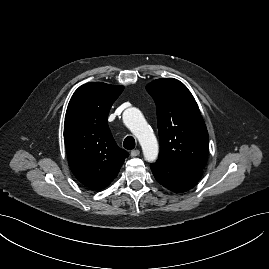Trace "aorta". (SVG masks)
Wrapping results in <instances>:
<instances>
[{"instance_id":"obj_1","label":"aorta","mask_w":269,"mask_h":269,"mask_svg":"<svg viewBox=\"0 0 269 269\" xmlns=\"http://www.w3.org/2000/svg\"><path fill=\"white\" fill-rule=\"evenodd\" d=\"M123 121L138 139L145 159L154 162L159 153L158 142L141 111L137 108L126 109L123 113Z\"/></svg>"}]
</instances>
